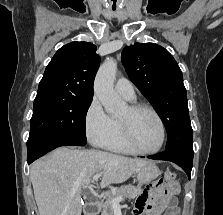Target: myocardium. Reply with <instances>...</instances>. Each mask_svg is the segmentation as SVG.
<instances>
[{"label":"myocardium","instance_id":"1","mask_svg":"<svg viewBox=\"0 0 223 215\" xmlns=\"http://www.w3.org/2000/svg\"><path fill=\"white\" fill-rule=\"evenodd\" d=\"M128 111L131 115H134L140 111L149 112L157 121L159 130H160V140H159L158 145L152 150L142 151V150H139L135 146V144L132 140L129 121L119 119L120 129H121V133H122V139H123L124 143L126 144V146L129 148V150L132 153L137 154V155H150V154H155V153L159 152L164 144V141H165V126H164V123H163L161 117L159 116V114L152 107H150L147 104L129 105Z\"/></svg>","mask_w":223,"mask_h":215}]
</instances>
